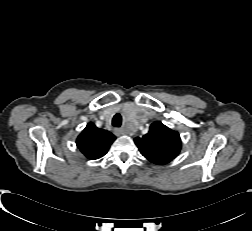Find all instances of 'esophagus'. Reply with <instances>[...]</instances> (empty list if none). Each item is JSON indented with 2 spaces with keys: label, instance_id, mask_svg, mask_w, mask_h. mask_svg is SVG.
Segmentation results:
<instances>
[{
  "label": "esophagus",
  "instance_id": "esophagus-1",
  "mask_svg": "<svg viewBox=\"0 0 252 231\" xmlns=\"http://www.w3.org/2000/svg\"><path fill=\"white\" fill-rule=\"evenodd\" d=\"M114 133H115V135L120 136V135L124 134V130L121 128H116L114 130Z\"/></svg>",
  "mask_w": 252,
  "mask_h": 231
}]
</instances>
